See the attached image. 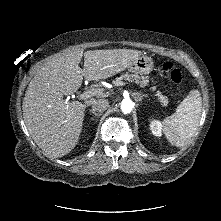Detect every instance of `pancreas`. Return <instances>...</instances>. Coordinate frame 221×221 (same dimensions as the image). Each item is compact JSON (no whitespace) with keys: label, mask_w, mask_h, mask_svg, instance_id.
Here are the masks:
<instances>
[{"label":"pancreas","mask_w":221,"mask_h":221,"mask_svg":"<svg viewBox=\"0 0 221 221\" xmlns=\"http://www.w3.org/2000/svg\"><path fill=\"white\" fill-rule=\"evenodd\" d=\"M121 80H127L131 82H135L138 84L140 87H145L149 85V80L144 77V76H139V75H134V74H123L120 77L116 78V83L121 82ZM156 86L152 87V90H155ZM155 96L158 98L159 102L161 103L162 106H167L168 105V99L166 96L162 95L160 91H157Z\"/></svg>","instance_id":"obj_1"}]
</instances>
